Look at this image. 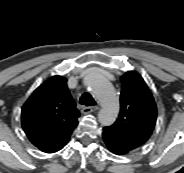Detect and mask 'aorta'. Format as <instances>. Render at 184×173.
Segmentation results:
<instances>
[{"instance_id": "1", "label": "aorta", "mask_w": 184, "mask_h": 173, "mask_svg": "<svg viewBox=\"0 0 184 173\" xmlns=\"http://www.w3.org/2000/svg\"><path fill=\"white\" fill-rule=\"evenodd\" d=\"M84 84L97 97L101 104L98 120L103 126L112 125L119 113V100L110 83L96 70H89Z\"/></svg>"}]
</instances>
